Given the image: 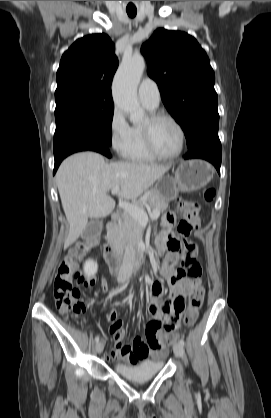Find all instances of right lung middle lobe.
I'll list each match as a JSON object with an SVG mask.
<instances>
[{
  "mask_svg": "<svg viewBox=\"0 0 271 418\" xmlns=\"http://www.w3.org/2000/svg\"><path fill=\"white\" fill-rule=\"evenodd\" d=\"M113 110L111 101L69 99L56 102L54 148L94 136L105 137L111 144Z\"/></svg>",
  "mask_w": 271,
  "mask_h": 418,
  "instance_id": "right-lung-middle-lobe-1",
  "label": "right lung middle lobe"
}]
</instances>
